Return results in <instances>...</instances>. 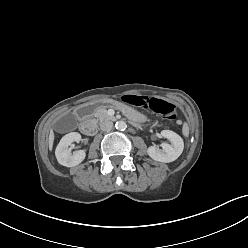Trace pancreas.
I'll return each mask as SVG.
<instances>
[{
  "label": "pancreas",
  "mask_w": 248,
  "mask_h": 248,
  "mask_svg": "<svg viewBox=\"0 0 248 248\" xmlns=\"http://www.w3.org/2000/svg\"><path fill=\"white\" fill-rule=\"evenodd\" d=\"M106 108H107L106 106H101L97 109L95 113V117L97 118L98 121L102 122L104 120L112 119V117L108 115Z\"/></svg>",
  "instance_id": "obj_1"
}]
</instances>
